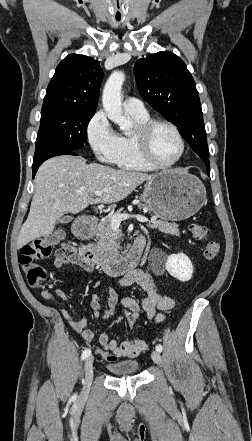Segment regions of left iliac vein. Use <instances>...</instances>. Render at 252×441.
Listing matches in <instances>:
<instances>
[{
  "label": "left iliac vein",
  "instance_id": "1",
  "mask_svg": "<svg viewBox=\"0 0 252 441\" xmlns=\"http://www.w3.org/2000/svg\"><path fill=\"white\" fill-rule=\"evenodd\" d=\"M153 361L157 364V365H161L162 363V357L160 355V353L158 351H154L151 354Z\"/></svg>",
  "mask_w": 252,
  "mask_h": 441
}]
</instances>
